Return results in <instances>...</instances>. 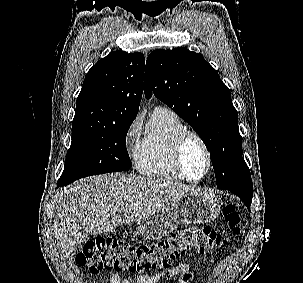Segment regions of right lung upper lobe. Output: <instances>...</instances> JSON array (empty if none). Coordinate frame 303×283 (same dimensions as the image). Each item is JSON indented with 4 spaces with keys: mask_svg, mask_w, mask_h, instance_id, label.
Instances as JSON below:
<instances>
[{
    "mask_svg": "<svg viewBox=\"0 0 303 283\" xmlns=\"http://www.w3.org/2000/svg\"><path fill=\"white\" fill-rule=\"evenodd\" d=\"M145 58L114 51L86 74L73 122L117 124L134 120L143 92Z\"/></svg>",
    "mask_w": 303,
    "mask_h": 283,
    "instance_id": "obj_1",
    "label": "right lung upper lobe"
}]
</instances>
